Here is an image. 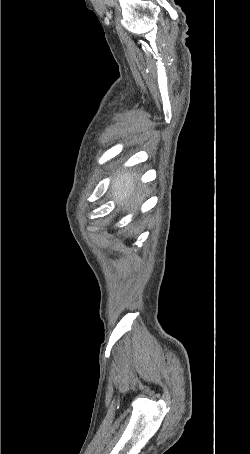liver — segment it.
Returning a JSON list of instances; mask_svg holds the SVG:
<instances>
[{
	"mask_svg": "<svg viewBox=\"0 0 250 454\" xmlns=\"http://www.w3.org/2000/svg\"><path fill=\"white\" fill-rule=\"evenodd\" d=\"M112 197L116 199L118 206H123L128 209L129 200H132V195L135 194L136 184L133 173L125 171L119 174L110 186ZM137 203L131 204V208L136 209Z\"/></svg>",
	"mask_w": 250,
	"mask_h": 454,
	"instance_id": "1",
	"label": "liver"
}]
</instances>
